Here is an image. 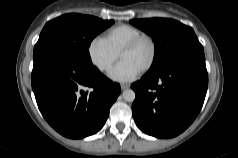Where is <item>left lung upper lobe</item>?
I'll return each mask as SVG.
<instances>
[{"instance_id":"1","label":"left lung upper lobe","mask_w":238,"mask_h":158,"mask_svg":"<svg viewBox=\"0 0 238 158\" xmlns=\"http://www.w3.org/2000/svg\"><path fill=\"white\" fill-rule=\"evenodd\" d=\"M148 35L155 43L153 64L148 73L161 69L166 64L187 53L203 51L192 28L165 18L138 19L130 21Z\"/></svg>"}]
</instances>
